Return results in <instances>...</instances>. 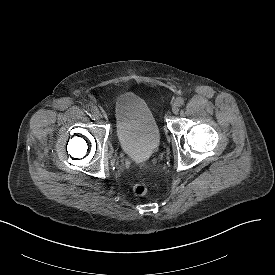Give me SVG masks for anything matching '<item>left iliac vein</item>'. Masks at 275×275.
Here are the masks:
<instances>
[{"mask_svg":"<svg viewBox=\"0 0 275 275\" xmlns=\"http://www.w3.org/2000/svg\"><path fill=\"white\" fill-rule=\"evenodd\" d=\"M172 112L174 114H178V112H179V106H178V104L176 102L173 103V105H172Z\"/></svg>","mask_w":275,"mask_h":275,"instance_id":"1","label":"left iliac vein"}]
</instances>
